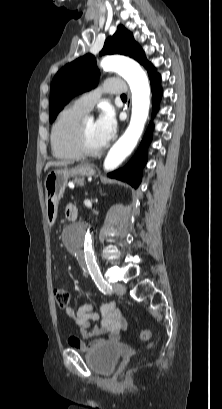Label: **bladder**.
Returning a JSON list of instances; mask_svg holds the SVG:
<instances>
[{"label":"bladder","mask_w":222,"mask_h":409,"mask_svg":"<svg viewBox=\"0 0 222 409\" xmlns=\"http://www.w3.org/2000/svg\"><path fill=\"white\" fill-rule=\"evenodd\" d=\"M121 355L122 348L119 343L107 342L89 349L85 359L93 371L108 375L114 370Z\"/></svg>","instance_id":"bladder-1"}]
</instances>
